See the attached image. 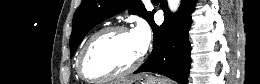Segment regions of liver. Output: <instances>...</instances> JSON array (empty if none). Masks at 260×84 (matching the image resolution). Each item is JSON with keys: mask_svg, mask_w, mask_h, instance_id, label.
<instances>
[{"mask_svg": "<svg viewBox=\"0 0 260 84\" xmlns=\"http://www.w3.org/2000/svg\"><path fill=\"white\" fill-rule=\"evenodd\" d=\"M142 76V74L135 76L134 78L127 80L124 82V84H132L135 80H137L138 78H140Z\"/></svg>", "mask_w": 260, "mask_h": 84, "instance_id": "liver-1", "label": "liver"}]
</instances>
